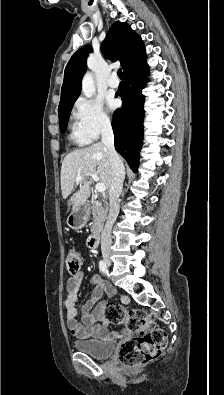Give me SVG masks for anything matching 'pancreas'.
Wrapping results in <instances>:
<instances>
[{
  "label": "pancreas",
  "mask_w": 224,
  "mask_h": 395,
  "mask_svg": "<svg viewBox=\"0 0 224 395\" xmlns=\"http://www.w3.org/2000/svg\"><path fill=\"white\" fill-rule=\"evenodd\" d=\"M92 216L94 226L92 227V231L96 230L97 227H101L105 222L108 207L105 202L95 201L92 203Z\"/></svg>",
  "instance_id": "cf45deb5"
}]
</instances>
